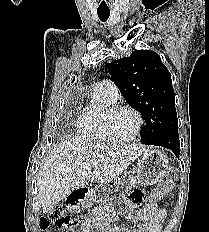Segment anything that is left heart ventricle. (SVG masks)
Here are the masks:
<instances>
[{"instance_id":"1","label":"left heart ventricle","mask_w":209,"mask_h":232,"mask_svg":"<svg viewBox=\"0 0 209 232\" xmlns=\"http://www.w3.org/2000/svg\"><path fill=\"white\" fill-rule=\"evenodd\" d=\"M137 125L134 114L130 111L117 113L111 121V131L115 137L125 138L130 136Z\"/></svg>"}]
</instances>
